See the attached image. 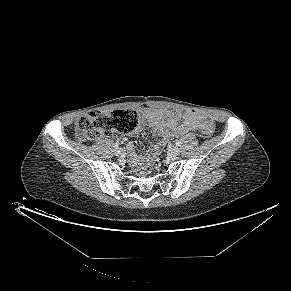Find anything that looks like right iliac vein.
<instances>
[{
	"label": "right iliac vein",
	"mask_w": 291,
	"mask_h": 291,
	"mask_svg": "<svg viewBox=\"0 0 291 291\" xmlns=\"http://www.w3.org/2000/svg\"><path fill=\"white\" fill-rule=\"evenodd\" d=\"M114 154H115L116 156H120V155H122V154H123V149H121V148H117V149H115Z\"/></svg>",
	"instance_id": "63e3f726"
}]
</instances>
